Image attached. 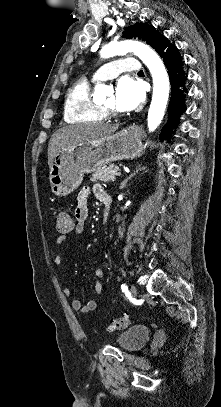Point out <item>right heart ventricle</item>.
<instances>
[{
	"mask_svg": "<svg viewBox=\"0 0 221 407\" xmlns=\"http://www.w3.org/2000/svg\"><path fill=\"white\" fill-rule=\"evenodd\" d=\"M94 82V81H93ZM106 115L92 98L91 83L80 78L69 88L64 103L66 122H100Z\"/></svg>",
	"mask_w": 221,
	"mask_h": 407,
	"instance_id": "right-heart-ventricle-1",
	"label": "right heart ventricle"
}]
</instances>
